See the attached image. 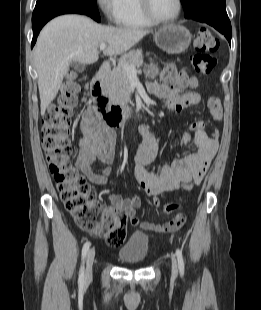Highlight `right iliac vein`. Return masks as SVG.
Segmentation results:
<instances>
[{
    "instance_id": "obj_1",
    "label": "right iliac vein",
    "mask_w": 261,
    "mask_h": 310,
    "mask_svg": "<svg viewBox=\"0 0 261 310\" xmlns=\"http://www.w3.org/2000/svg\"><path fill=\"white\" fill-rule=\"evenodd\" d=\"M95 258V249L92 248L89 250L86 259V269H85V282H88L92 277V268Z\"/></svg>"
}]
</instances>
